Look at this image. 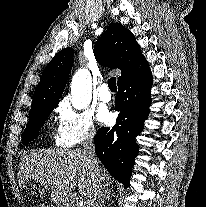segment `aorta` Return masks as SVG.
<instances>
[{
  "label": "aorta",
  "instance_id": "aorta-1",
  "mask_svg": "<svg viewBox=\"0 0 206 207\" xmlns=\"http://www.w3.org/2000/svg\"><path fill=\"white\" fill-rule=\"evenodd\" d=\"M72 106L81 110L86 108L92 98L91 77L87 70H79L73 76L71 82Z\"/></svg>",
  "mask_w": 206,
  "mask_h": 207
}]
</instances>
